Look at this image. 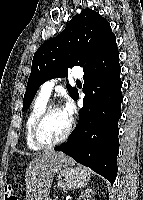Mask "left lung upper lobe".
I'll return each mask as SVG.
<instances>
[{
	"mask_svg": "<svg viewBox=\"0 0 143 200\" xmlns=\"http://www.w3.org/2000/svg\"><path fill=\"white\" fill-rule=\"evenodd\" d=\"M115 38L108 21L91 9L76 14L58 36L43 43L32 61L23 99V110L28 109L37 90L47 80L66 77L68 67L87 68ZM72 98L77 89L66 86Z\"/></svg>",
	"mask_w": 143,
	"mask_h": 200,
	"instance_id": "obj_1",
	"label": "left lung upper lobe"
}]
</instances>
